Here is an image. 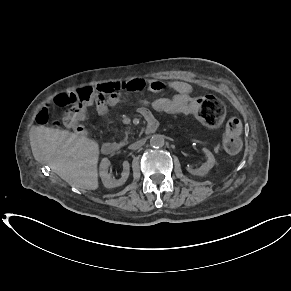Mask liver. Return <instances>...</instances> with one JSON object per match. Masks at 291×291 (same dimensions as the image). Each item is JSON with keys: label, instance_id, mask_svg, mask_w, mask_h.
<instances>
[{"label": "liver", "instance_id": "1", "mask_svg": "<svg viewBox=\"0 0 291 291\" xmlns=\"http://www.w3.org/2000/svg\"><path fill=\"white\" fill-rule=\"evenodd\" d=\"M30 144L34 158L46 162L71 186L98 188L99 145L95 140L68 130L34 126Z\"/></svg>", "mask_w": 291, "mask_h": 291}]
</instances>
